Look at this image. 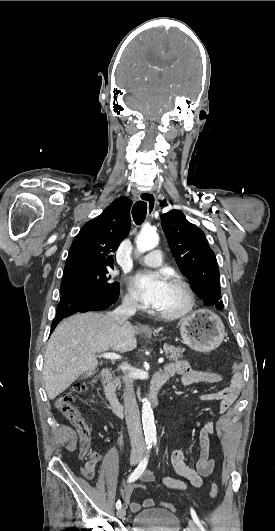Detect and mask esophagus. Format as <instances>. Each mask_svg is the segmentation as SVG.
Instances as JSON below:
<instances>
[{
	"label": "esophagus",
	"mask_w": 275,
	"mask_h": 531,
	"mask_svg": "<svg viewBox=\"0 0 275 531\" xmlns=\"http://www.w3.org/2000/svg\"><path fill=\"white\" fill-rule=\"evenodd\" d=\"M140 198L145 201L148 205V213L150 216L153 215L156 208V194L154 191H145L141 193Z\"/></svg>",
	"instance_id": "obj_1"
}]
</instances>
